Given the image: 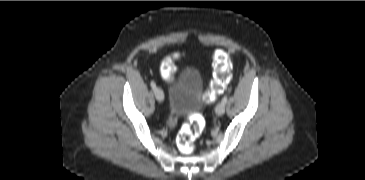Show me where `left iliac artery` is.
Wrapping results in <instances>:
<instances>
[{
    "label": "left iliac artery",
    "mask_w": 365,
    "mask_h": 180,
    "mask_svg": "<svg viewBox=\"0 0 365 180\" xmlns=\"http://www.w3.org/2000/svg\"><path fill=\"white\" fill-rule=\"evenodd\" d=\"M227 100H228L227 95H224V97L222 98V102H223L224 104H226Z\"/></svg>",
    "instance_id": "left-iliac-artery-1"
}]
</instances>
